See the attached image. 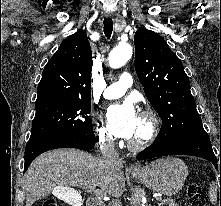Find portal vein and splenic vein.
I'll use <instances>...</instances> for the list:
<instances>
[{
	"mask_svg": "<svg viewBox=\"0 0 221 206\" xmlns=\"http://www.w3.org/2000/svg\"><path fill=\"white\" fill-rule=\"evenodd\" d=\"M87 192L90 194H94L99 199H104L106 197V194L101 190H96L95 187L87 189ZM157 200H161V198H157Z\"/></svg>",
	"mask_w": 221,
	"mask_h": 206,
	"instance_id": "obj_1",
	"label": "portal vein and splenic vein"
}]
</instances>
